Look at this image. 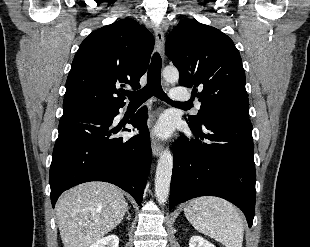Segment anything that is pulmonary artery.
<instances>
[{
    "instance_id": "pulmonary-artery-1",
    "label": "pulmonary artery",
    "mask_w": 310,
    "mask_h": 247,
    "mask_svg": "<svg viewBox=\"0 0 310 247\" xmlns=\"http://www.w3.org/2000/svg\"><path fill=\"white\" fill-rule=\"evenodd\" d=\"M170 98L174 101H187L190 99V95L183 92L181 87H175L170 91ZM196 106L199 107L200 103L196 102Z\"/></svg>"
}]
</instances>
